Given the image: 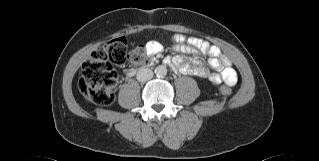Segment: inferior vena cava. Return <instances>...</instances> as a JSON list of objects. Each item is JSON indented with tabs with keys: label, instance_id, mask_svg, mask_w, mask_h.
<instances>
[{
	"label": "inferior vena cava",
	"instance_id": "inferior-vena-cava-1",
	"mask_svg": "<svg viewBox=\"0 0 319 161\" xmlns=\"http://www.w3.org/2000/svg\"><path fill=\"white\" fill-rule=\"evenodd\" d=\"M153 77V71L148 68H141L136 75V78L140 82H146Z\"/></svg>",
	"mask_w": 319,
	"mask_h": 161
}]
</instances>
